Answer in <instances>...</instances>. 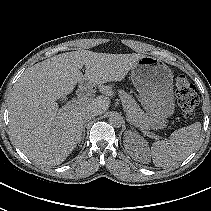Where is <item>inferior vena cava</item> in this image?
<instances>
[{
  "label": "inferior vena cava",
  "instance_id": "inferior-vena-cava-1",
  "mask_svg": "<svg viewBox=\"0 0 211 211\" xmlns=\"http://www.w3.org/2000/svg\"><path fill=\"white\" fill-rule=\"evenodd\" d=\"M95 116H96V113L89 112V111L82 114V118H83L84 123L88 122L89 120H91L93 118H95Z\"/></svg>",
  "mask_w": 211,
  "mask_h": 211
}]
</instances>
